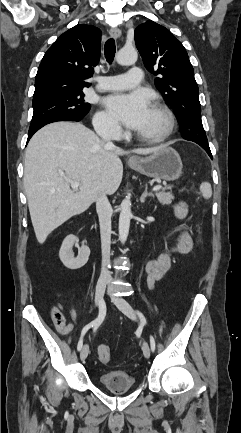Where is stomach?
Segmentation results:
<instances>
[{"instance_id":"obj_1","label":"stomach","mask_w":241,"mask_h":433,"mask_svg":"<svg viewBox=\"0 0 241 433\" xmlns=\"http://www.w3.org/2000/svg\"><path fill=\"white\" fill-rule=\"evenodd\" d=\"M129 166L150 178L175 181L180 177L183 165L179 154L173 148L162 146L148 157L130 160Z\"/></svg>"}]
</instances>
